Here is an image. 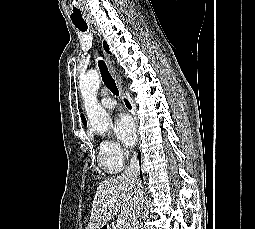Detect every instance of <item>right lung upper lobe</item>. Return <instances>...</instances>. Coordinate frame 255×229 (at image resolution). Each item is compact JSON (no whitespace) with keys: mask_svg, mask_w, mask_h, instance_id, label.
<instances>
[{"mask_svg":"<svg viewBox=\"0 0 255 229\" xmlns=\"http://www.w3.org/2000/svg\"><path fill=\"white\" fill-rule=\"evenodd\" d=\"M81 119H82L83 124L86 126V125H87V122H86V120H85V118H84L83 115L81 116Z\"/></svg>","mask_w":255,"mask_h":229,"instance_id":"right-lung-upper-lobe-1","label":"right lung upper lobe"}]
</instances>
